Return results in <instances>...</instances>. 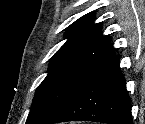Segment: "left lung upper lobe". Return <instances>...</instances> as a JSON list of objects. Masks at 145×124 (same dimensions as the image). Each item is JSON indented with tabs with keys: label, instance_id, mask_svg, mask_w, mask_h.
<instances>
[{
	"label": "left lung upper lobe",
	"instance_id": "1",
	"mask_svg": "<svg viewBox=\"0 0 145 124\" xmlns=\"http://www.w3.org/2000/svg\"><path fill=\"white\" fill-rule=\"evenodd\" d=\"M93 21L94 15H85L65 33L68 40L52 57L48 75L36 90L26 124H43L114 57L112 44Z\"/></svg>",
	"mask_w": 145,
	"mask_h": 124
}]
</instances>
